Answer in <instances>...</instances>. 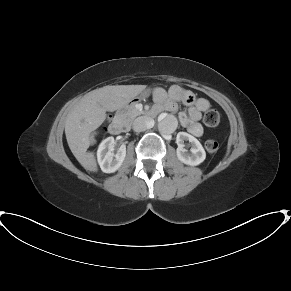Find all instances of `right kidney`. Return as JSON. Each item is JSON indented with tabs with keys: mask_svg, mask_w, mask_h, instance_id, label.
Instances as JSON below:
<instances>
[{
	"mask_svg": "<svg viewBox=\"0 0 291 291\" xmlns=\"http://www.w3.org/2000/svg\"><path fill=\"white\" fill-rule=\"evenodd\" d=\"M114 138L104 139L97 150V160L100 168L105 173H113L119 169L126 157V147L121 145L114 153Z\"/></svg>",
	"mask_w": 291,
	"mask_h": 291,
	"instance_id": "ca27d5eb",
	"label": "right kidney"
}]
</instances>
